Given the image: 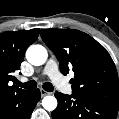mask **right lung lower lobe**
<instances>
[{
  "instance_id": "98d812e1",
  "label": "right lung lower lobe",
  "mask_w": 119,
  "mask_h": 119,
  "mask_svg": "<svg viewBox=\"0 0 119 119\" xmlns=\"http://www.w3.org/2000/svg\"><path fill=\"white\" fill-rule=\"evenodd\" d=\"M40 97L39 89L1 96L0 119H30Z\"/></svg>"
}]
</instances>
